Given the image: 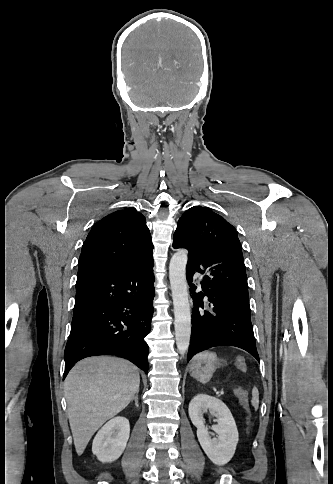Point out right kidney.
Instances as JSON below:
<instances>
[{
	"mask_svg": "<svg viewBox=\"0 0 333 484\" xmlns=\"http://www.w3.org/2000/svg\"><path fill=\"white\" fill-rule=\"evenodd\" d=\"M130 434L129 421L116 417L108 421L93 440L92 452L102 463L117 460L126 448Z\"/></svg>",
	"mask_w": 333,
	"mask_h": 484,
	"instance_id": "ca27d5eb",
	"label": "right kidney"
}]
</instances>
